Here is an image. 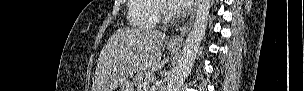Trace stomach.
I'll return each instance as SVG.
<instances>
[{
	"label": "stomach",
	"instance_id": "0dacf381",
	"mask_svg": "<svg viewBox=\"0 0 304 91\" xmlns=\"http://www.w3.org/2000/svg\"><path fill=\"white\" fill-rule=\"evenodd\" d=\"M169 51L173 52L177 50V47L167 45ZM120 91H134L133 85L130 82H124L120 88Z\"/></svg>",
	"mask_w": 304,
	"mask_h": 91
}]
</instances>
